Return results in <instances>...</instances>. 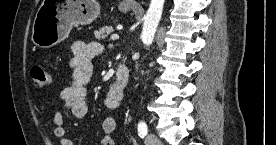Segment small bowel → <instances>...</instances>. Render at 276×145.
I'll list each match as a JSON object with an SVG mask.
<instances>
[{
    "label": "small bowel",
    "mask_w": 276,
    "mask_h": 145,
    "mask_svg": "<svg viewBox=\"0 0 276 145\" xmlns=\"http://www.w3.org/2000/svg\"><path fill=\"white\" fill-rule=\"evenodd\" d=\"M72 58L70 67L72 76L70 83L63 89L60 99L63 106L69 109L76 119H83L88 112L86 101L87 84L93 73L92 60L100 53V47L96 43L86 44L84 42H74L71 45ZM123 98V93H119L114 86H110L105 98V106L110 110L119 107ZM55 124L54 135L59 138L61 145H73L72 141L66 137L64 127V116L57 111L53 115ZM104 136L101 145H115L111 134L116 130L117 121L113 116H108L103 121Z\"/></svg>",
    "instance_id": "c3829d8e"
}]
</instances>
